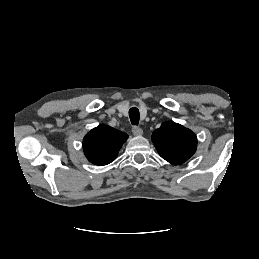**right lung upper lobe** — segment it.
Here are the masks:
<instances>
[{"label": "right lung upper lobe", "mask_w": 259, "mask_h": 259, "mask_svg": "<svg viewBox=\"0 0 259 259\" xmlns=\"http://www.w3.org/2000/svg\"><path fill=\"white\" fill-rule=\"evenodd\" d=\"M128 135L107 125L92 129L83 139V149L87 159L103 166L115 160Z\"/></svg>", "instance_id": "cb5924a9"}]
</instances>
